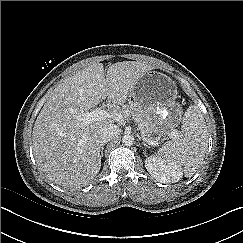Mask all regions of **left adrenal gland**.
<instances>
[{"label":"left adrenal gland","instance_id":"left-adrenal-gland-1","mask_svg":"<svg viewBox=\"0 0 243 243\" xmlns=\"http://www.w3.org/2000/svg\"><path fill=\"white\" fill-rule=\"evenodd\" d=\"M142 145H144L146 148H150L145 142H142Z\"/></svg>","mask_w":243,"mask_h":243}]
</instances>
